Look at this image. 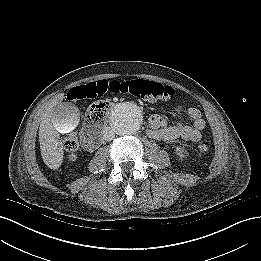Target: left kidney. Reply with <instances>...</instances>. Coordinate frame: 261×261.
<instances>
[{
    "label": "left kidney",
    "mask_w": 261,
    "mask_h": 261,
    "mask_svg": "<svg viewBox=\"0 0 261 261\" xmlns=\"http://www.w3.org/2000/svg\"><path fill=\"white\" fill-rule=\"evenodd\" d=\"M175 151H176V155L178 156L179 159L182 160L185 157L186 152L184 151V149L182 147H180V146L176 147Z\"/></svg>",
    "instance_id": "5707ae66"
}]
</instances>
